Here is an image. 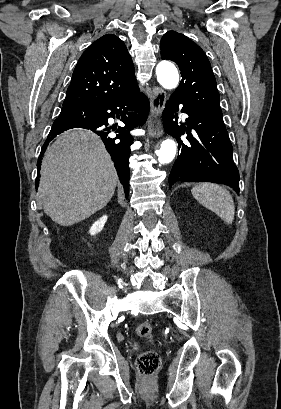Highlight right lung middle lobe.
Masks as SVG:
<instances>
[{"mask_svg":"<svg viewBox=\"0 0 281 409\" xmlns=\"http://www.w3.org/2000/svg\"><path fill=\"white\" fill-rule=\"evenodd\" d=\"M84 121V118L82 117H77V116H68V117H63L59 116L53 125H76L80 124Z\"/></svg>","mask_w":281,"mask_h":409,"instance_id":"right-lung-middle-lobe-1","label":"right lung middle lobe"}]
</instances>
